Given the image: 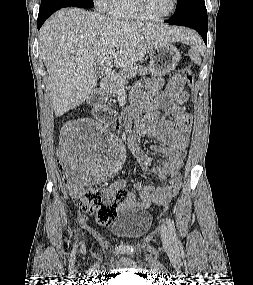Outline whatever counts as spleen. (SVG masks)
Segmentation results:
<instances>
[{
    "label": "spleen",
    "instance_id": "obj_1",
    "mask_svg": "<svg viewBox=\"0 0 253 285\" xmlns=\"http://www.w3.org/2000/svg\"><path fill=\"white\" fill-rule=\"evenodd\" d=\"M187 42L191 45V49L189 50L190 59L197 65H201V57L199 54L201 45L199 39L193 34L188 36Z\"/></svg>",
    "mask_w": 253,
    "mask_h": 285
}]
</instances>
